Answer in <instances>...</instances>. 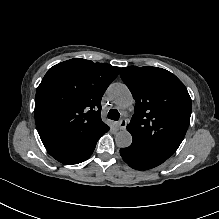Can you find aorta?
<instances>
[{
    "mask_svg": "<svg viewBox=\"0 0 219 219\" xmlns=\"http://www.w3.org/2000/svg\"><path fill=\"white\" fill-rule=\"evenodd\" d=\"M107 93L114 103L121 108L129 107L134 101L128 87L123 83H112L108 87ZM132 140V135L127 130H121L115 136V142L121 148L129 147Z\"/></svg>",
    "mask_w": 219,
    "mask_h": 219,
    "instance_id": "762f6f07",
    "label": "aorta"
}]
</instances>
